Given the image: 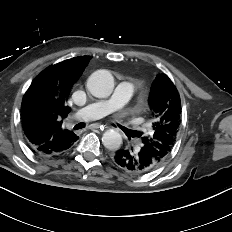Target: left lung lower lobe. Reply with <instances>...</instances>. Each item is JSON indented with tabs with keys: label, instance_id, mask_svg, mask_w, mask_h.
Here are the masks:
<instances>
[{
	"label": "left lung lower lobe",
	"instance_id": "1",
	"mask_svg": "<svg viewBox=\"0 0 232 232\" xmlns=\"http://www.w3.org/2000/svg\"><path fill=\"white\" fill-rule=\"evenodd\" d=\"M112 160L118 168L133 175L150 173L160 165L158 161L142 149L138 152L119 149L113 154Z\"/></svg>",
	"mask_w": 232,
	"mask_h": 232
}]
</instances>
